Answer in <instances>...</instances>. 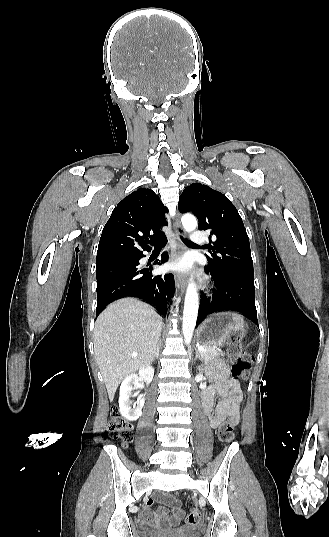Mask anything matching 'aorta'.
Returning <instances> with one entry per match:
<instances>
[{
  "label": "aorta",
  "instance_id": "aorta-1",
  "mask_svg": "<svg viewBox=\"0 0 329 537\" xmlns=\"http://www.w3.org/2000/svg\"><path fill=\"white\" fill-rule=\"evenodd\" d=\"M182 225L186 231H193L197 227V220L192 215H184L181 219ZM199 309V296L197 287L194 282H189L185 295L182 334L185 343L188 345L191 342L193 332L196 325L197 314Z\"/></svg>",
  "mask_w": 329,
  "mask_h": 537
}]
</instances>
